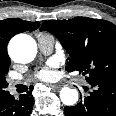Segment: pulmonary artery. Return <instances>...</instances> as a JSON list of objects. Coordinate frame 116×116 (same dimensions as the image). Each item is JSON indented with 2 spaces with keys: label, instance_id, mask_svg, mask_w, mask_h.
Wrapping results in <instances>:
<instances>
[{
  "label": "pulmonary artery",
  "instance_id": "obj_1",
  "mask_svg": "<svg viewBox=\"0 0 116 116\" xmlns=\"http://www.w3.org/2000/svg\"><path fill=\"white\" fill-rule=\"evenodd\" d=\"M36 37H37L38 47L40 51L46 55L50 54L54 49V45H55L54 38L52 36H42L39 34H37ZM16 84H17L16 81L9 82V87L11 91L14 90Z\"/></svg>",
  "mask_w": 116,
  "mask_h": 116
}]
</instances>
